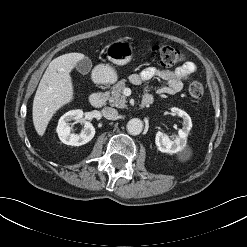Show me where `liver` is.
Returning a JSON list of instances; mask_svg holds the SVG:
<instances>
[{"mask_svg":"<svg viewBox=\"0 0 247 247\" xmlns=\"http://www.w3.org/2000/svg\"><path fill=\"white\" fill-rule=\"evenodd\" d=\"M82 53H68L53 59L47 67L33 100V124L43 136L52 116L74 98L71 71L84 58Z\"/></svg>","mask_w":247,"mask_h":247,"instance_id":"6515ba94","label":"liver"}]
</instances>
